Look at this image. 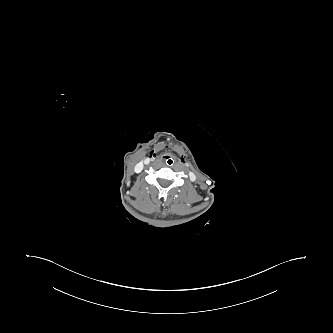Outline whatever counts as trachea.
Listing matches in <instances>:
<instances>
[{
  "mask_svg": "<svg viewBox=\"0 0 333 333\" xmlns=\"http://www.w3.org/2000/svg\"><path fill=\"white\" fill-rule=\"evenodd\" d=\"M161 161H162V164L167 168H172L176 164V159H175L174 155H172V154H167V155L163 156Z\"/></svg>",
  "mask_w": 333,
  "mask_h": 333,
  "instance_id": "3493384b",
  "label": "trachea"
}]
</instances>
